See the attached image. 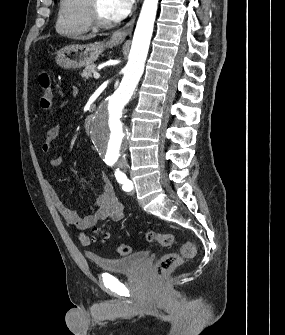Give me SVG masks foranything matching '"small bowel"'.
<instances>
[{
  "label": "small bowel",
  "instance_id": "small-bowel-1",
  "mask_svg": "<svg viewBox=\"0 0 285 335\" xmlns=\"http://www.w3.org/2000/svg\"><path fill=\"white\" fill-rule=\"evenodd\" d=\"M60 131V125H55L46 132L43 143V151L45 153H49L52 150L54 141L59 136ZM61 164L62 159L60 157H53L49 160V167L52 169L58 168ZM48 188L53 204L60 216L75 229L80 242L85 246H89L92 243L91 237L86 233L87 229L93 228L99 221L110 220L118 222L125 216L126 207L118 199L105 174L100 175L99 193L85 215H80L78 212L67 208L55 189L51 185Z\"/></svg>",
  "mask_w": 285,
  "mask_h": 335
}]
</instances>
